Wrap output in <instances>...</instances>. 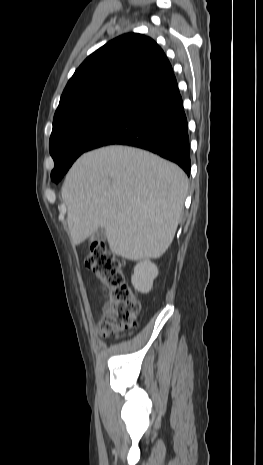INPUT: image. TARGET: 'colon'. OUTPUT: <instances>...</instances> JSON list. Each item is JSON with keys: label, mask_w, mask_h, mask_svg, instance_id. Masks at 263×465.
Instances as JSON below:
<instances>
[{"label": "colon", "mask_w": 263, "mask_h": 465, "mask_svg": "<svg viewBox=\"0 0 263 465\" xmlns=\"http://www.w3.org/2000/svg\"><path fill=\"white\" fill-rule=\"evenodd\" d=\"M85 266L100 280L105 307L99 331L103 336L131 329L136 325L140 304L127 284L122 261L103 242H93L84 259Z\"/></svg>", "instance_id": "1"}]
</instances>
